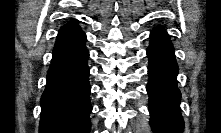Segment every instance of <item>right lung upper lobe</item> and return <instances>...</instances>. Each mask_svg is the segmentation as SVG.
<instances>
[{"label": "right lung upper lobe", "mask_w": 221, "mask_h": 133, "mask_svg": "<svg viewBox=\"0 0 221 133\" xmlns=\"http://www.w3.org/2000/svg\"><path fill=\"white\" fill-rule=\"evenodd\" d=\"M84 35V32L77 24V21H71L61 27L57 40L64 41L79 38Z\"/></svg>", "instance_id": "right-lung-upper-lobe-1"}]
</instances>
